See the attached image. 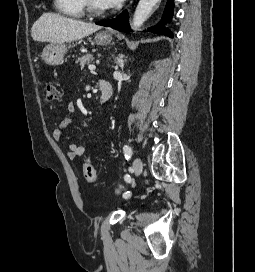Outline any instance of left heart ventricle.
Returning a JSON list of instances; mask_svg holds the SVG:
<instances>
[{
	"label": "left heart ventricle",
	"mask_w": 255,
	"mask_h": 272,
	"mask_svg": "<svg viewBox=\"0 0 255 272\" xmlns=\"http://www.w3.org/2000/svg\"><path fill=\"white\" fill-rule=\"evenodd\" d=\"M92 1H93L94 5H95V7L97 9H104V7L102 6L100 0H92Z\"/></svg>",
	"instance_id": "left-heart-ventricle-1"
}]
</instances>
